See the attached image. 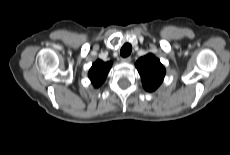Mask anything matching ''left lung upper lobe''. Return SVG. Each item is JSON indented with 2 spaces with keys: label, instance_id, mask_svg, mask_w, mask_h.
<instances>
[{
  "label": "left lung upper lobe",
  "instance_id": "5c2ea615",
  "mask_svg": "<svg viewBox=\"0 0 230 155\" xmlns=\"http://www.w3.org/2000/svg\"><path fill=\"white\" fill-rule=\"evenodd\" d=\"M146 91H155L162 83L165 76V68L160 60L149 53L141 57L135 64Z\"/></svg>",
  "mask_w": 230,
  "mask_h": 155
}]
</instances>
